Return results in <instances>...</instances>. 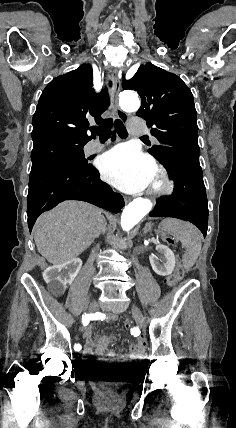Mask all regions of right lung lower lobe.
<instances>
[{"mask_svg": "<svg viewBox=\"0 0 236 428\" xmlns=\"http://www.w3.org/2000/svg\"><path fill=\"white\" fill-rule=\"evenodd\" d=\"M65 200H81L118 213L123 197L99 178L90 164L76 167L69 164L49 166L30 173L27 196L29 230L38 216Z\"/></svg>", "mask_w": 236, "mask_h": 428, "instance_id": "98d812e1", "label": "right lung lower lobe"}]
</instances>
